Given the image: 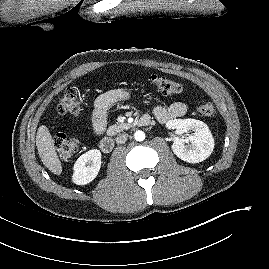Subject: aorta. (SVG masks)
Returning a JSON list of instances; mask_svg holds the SVG:
<instances>
[{"label": "aorta", "mask_w": 269, "mask_h": 269, "mask_svg": "<svg viewBox=\"0 0 269 269\" xmlns=\"http://www.w3.org/2000/svg\"><path fill=\"white\" fill-rule=\"evenodd\" d=\"M134 138L136 141H143L145 139V133L143 131H136Z\"/></svg>", "instance_id": "762f6f07"}]
</instances>
